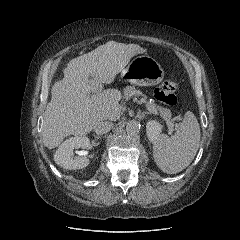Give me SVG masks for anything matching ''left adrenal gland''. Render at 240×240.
<instances>
[{
    "label": "left adrenal gland",
    "mask_w": 240,
    "mask_h": 240,
    "mask_svg": "<svg viewBox=\"0 0 240 240\" xmlns=\"http://www.w3.org/2000/svg\"><path fill=\"white\" fill-rule=\"evenodd\" d=\"M148 114H151L150 112H142V113H139V118L140 119H143L145 117V115H148Z\"/></svg>",
    "instance_id": "a2214340"
}]
</instances>
